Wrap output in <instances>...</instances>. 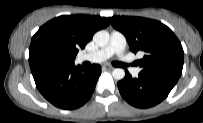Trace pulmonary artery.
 <instances>
[{
  "mask_svg": "<svg viewBox=\"0 0 203 123\" xmlns=\"http://www.w3.org/2000/svg\"><path fill=\"white\" fill-rule=\"evenodd\" d=\"M126 40L124 35L119 31H112L110 42L107 46L94 51L92 53L83 54L80 56V61H89L93 63L103 62L109 59L114 54L117 55L125 64H127L132 75L137 76L140 72L139 67H134L125 56Z\"/></svg>",
  "mask_w": 203,
  "mask_h": 123,
  "instance_id": "obj_1",
  "label": "pulmonary artery"
}]
</instances>
